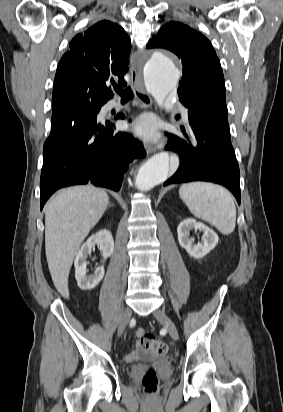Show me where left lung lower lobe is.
Masks as SVG:
<instances>
[{
    "label": "left lung lower lobe",
    "instance_id": "1",
    "mask_svg": "<svg viewBox=\"0 0 283 412\" xmlns=\"http://www.w3.org/2000/svg\"><path fill=\"white\" fill-rule=\"evenodd\" d=\"M189 131L180 138L168 134L166 149L178 153L180 167L164 186L209 181L228 188L240 204L239 166L226 130L214 131L188 114Z\"/></svg>",
    "mask_w": 283,
    "mask_h": 412
}]
</instances>
